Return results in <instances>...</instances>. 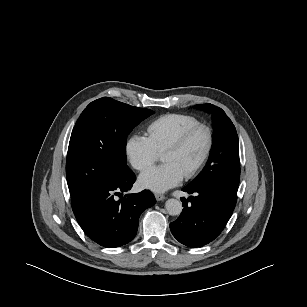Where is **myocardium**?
<instances>
[{
    "instance_id": "myocardium-1",
    "label": "myocardium",
    "mask_w": 307,
    "mask_h": 307,
    "mask_svg": "<svg viewBox=\"0 0 307 307\" xmlns=\"http://www.w3.org/2000/svg\"><path fill=\"white\" fill-rule=\"evenodd\" d=\"M200 130L204 131L206 134V148L198 163L188 173L184 175L186 179L194 178L202 170V168L205 166L208 159L210 158L214 147V134L211 127L203 123H198L187 128L162 153L163 156L166 153L178 151L185 145V143L192 137V135H194L197 131Z\"/></svg>"
}]
</instances>
